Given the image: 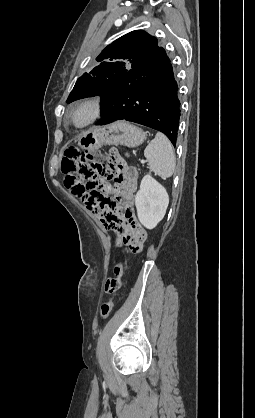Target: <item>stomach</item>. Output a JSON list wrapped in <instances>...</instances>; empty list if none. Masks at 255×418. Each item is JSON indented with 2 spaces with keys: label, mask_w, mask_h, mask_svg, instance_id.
Instances as JSON below:
<instances>
[{
  "label": "stomach",
  "mask_w": 255,
  "mask_h": 418,
  "mask_svg": "<svg viewBox=\"0 0 255 418\" xmlns=\"http://www.w3.org/2000/svg\"><path fill=\"white\" fill-rule=\"evenodd\" d=\"M146 139L145 132L127 122H117L103 127H93L79 139V145L85 150H92L108 145H124L137 147Z\"/></svg>",
  "instance_id": "0dacf381"
}]
</instances>
